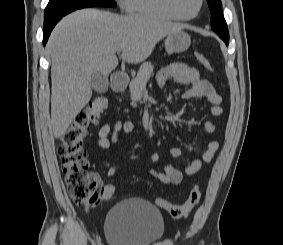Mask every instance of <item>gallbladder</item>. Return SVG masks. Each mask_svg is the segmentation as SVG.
Segmentation results:
<instances>
[{"label": "gallbladder", "instance_id": "gallbladder-1", "mask_svg": "<svg viewBox=\"0 0 283 245\" xmlns=\"http://www.w3.org/2000/svg\"><path fill=\"white\" fill-rule=\"evenodd\" d=\"M89 83L91 87L99 93L106 92L109 86L108 78L99 71H96L91 75Z\"/></svg>", "mask_w": 283, "mask_h": 245}]
</instances>
